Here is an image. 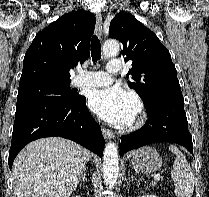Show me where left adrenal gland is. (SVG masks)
<instances>
[{
	"mask_svg": "<svg viewBox=\"0 0 209 197\" xmlns=\"http://www.w3.org/2000/svg\"><path fill=\"white\" fill-rule=\"evenodd\" d=\"M131 179L133 180V175L131 174Z\"/></svg>",
	"mask_w": 209,
	"mask_h": 197,
	"instance_id": "a2214340",
	"label": "left adrenal gland"
}]
</instances>
